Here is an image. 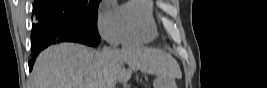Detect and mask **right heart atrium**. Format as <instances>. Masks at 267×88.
I'll list each match as a JSON object with an SVG mask.
<instances>
[{
  "mask_svg": "<svg viewBox=\"0 0 267 88\" xmlns=\"http://www.w3.org/2000/svg\"><path fill=\"white\" fill-rule=\"evenodd\" d=\"M100 35L111 45L122 41L123 21L121 7L113 1L102 2L97 20Z\"/></svg>",
  "mask_w": 267,
  "mask_h": 88,
  "instance_id": "right-heart-atrium-1",
  "label": "right heart atrium"
}]
</instances>
